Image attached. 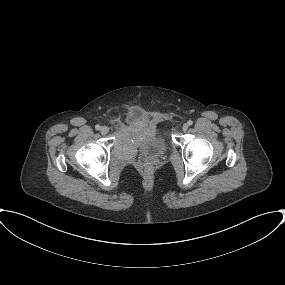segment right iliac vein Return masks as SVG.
<instances>
[{
  "mask_svg": "<svg viewBox=\"0 0 285 285\" xmlns=\"http://www.w3.org/2000/svg\"><path fill=\"white\" fill-rule=\"evenodd\" d=\"M100 132H101L103 135H105V134H107V133L109 132V128H108L107 126H102V127L100 128Z\"/></svg>",
  "mask_w": 285,
  "mask_h": 285,
  "instance_id": "1",
  "label": "right iliac vein"
}]
</instances>
